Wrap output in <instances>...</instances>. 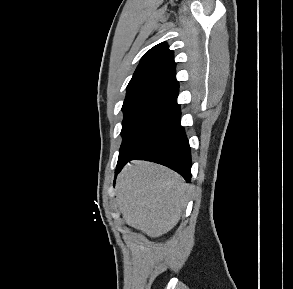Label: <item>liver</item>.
Listing matches in <instances>:
<instances>
[{
  "label": "liver",
  "instance_id": "6515ba94",
  "mask_svg": "<svg viewBox=\"0 0 293 289\" xmlns=\"http://www.w3.org/2000/svg\"><path fill=\"white\" fill-rule=\"evenodd\" d=\"M116 189L125 222L151 238L176 226L189 198V185L180 175L146 161L128 164L118 175Z\"/></svg>",
  "mask_w": 293,
  "mask_h": 289
}]
</instances>
